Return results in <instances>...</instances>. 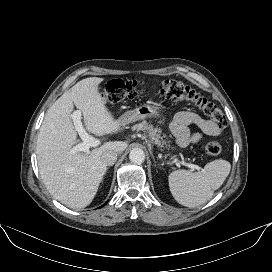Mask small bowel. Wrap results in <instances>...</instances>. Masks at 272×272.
<instances>
[{
    "label": "small bowel",
    "instance_id": "c3829d8e",
    "mask_svg": "<svg viewBox=\"0 0 272 272\" xmlns=\"http://www.w3.org/2000/svg\"><path fill=\"white\" fill-rule=\"evenodd\" d=\"M190 125H196L201 130V133L191 134L189 131ZM171 130L181 147L197 143L201 140L203 134L218 136L221 133L213 121L203 119L199 115L189 111H181L174 116L171 123Z\"/></svg>",
    "mask_w": 272,
    "mask_h": 272
}]
</instances>
